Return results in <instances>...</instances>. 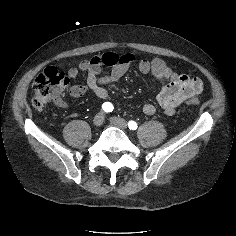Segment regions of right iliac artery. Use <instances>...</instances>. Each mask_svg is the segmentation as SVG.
Wrapping results in <instances>:
<instances>
[{
    "label": "right iliac artery",
    "mask_w": 236,
    "mask_h": 236,
    "mask_svg": "<svg viewBox=\"0 0 236 236\" xmlns=\"http://www.w3.org/2000/svg\"><path fill=\"white\" fill-rule=\"evenodd\" d=\"M102 109L104 110V112H112L114 107L113 105L110 103V102H105L103 105H102Z\"/></svg>",
    "instance_id": "1"
}]
</instances>
